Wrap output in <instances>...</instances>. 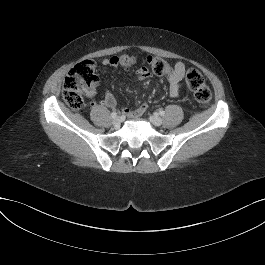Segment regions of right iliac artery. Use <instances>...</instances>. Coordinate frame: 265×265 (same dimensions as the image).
<instances>
[{
  "label": "right iliac artery",
  "mask_w": 265,
  "mask_h": 265,
  "mask_svg": "<svg viewBox=\"0 0 265 265\" xmlns=\"http://www.w3.org/2000/svg\"><path fill=\"white\" fill-rule=\"evenodd\" d=\"M111 117H112V118H116V117H117V113H116V112H112V113H111Z\"/></svg>",
  "instance_id": "obj_1"
}]
</instances>
